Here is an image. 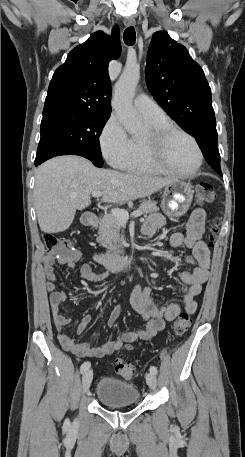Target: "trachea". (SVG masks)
Wrapping results in <instances>:
<instances>
[{
	"instance_id": "3493384b",
	"label": "trachea",
	"mask_w": 245,
	"mask_h": 457,
	"mask_svg": "<svg viewBox=\"0 0 245 457\" xmlns=\"http://www.w3.org/2000/svg\"><path fill=\"white\" fill-rule=\"evenodd\" d=\"M123 40L126 45H134L136 40V33L133 26L128 27L123 34Z\"/></svg>"
}]
</instances>
